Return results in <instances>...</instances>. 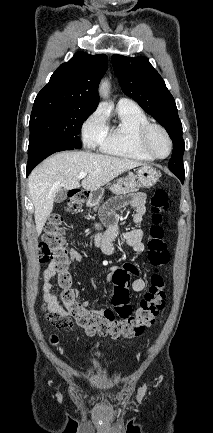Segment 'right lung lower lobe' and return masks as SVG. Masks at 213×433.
Returning <instances> with one entry per match:
<instances>
[{
  "label": "right lung lower lobe",
  "mask_w": 213,
  "mask_h": 433,
  "mask_svg": "<svg viewBox=\"0 0 213 433\" xmlns=\"http://www.w3.org/2000/svg\"><path fill=\"white\" fill-rule=\"evenodd\" d=\"M73 149L75 148L70 145L48 139L39 140L29 144L26 176H28V174L37 164H39L44 158L48 157L49 155L55 152Z\"/></svg>",
  "instance_id": "98d812e1"
}]
</instances>
